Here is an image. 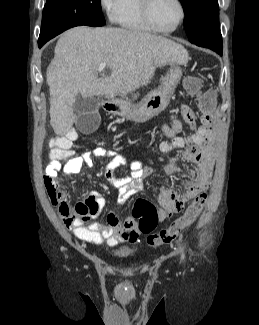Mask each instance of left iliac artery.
<instances>
[{
  "label": "left iliac artery",
  "instance_id": "44dca946",
  "mask_svg": "<svg viewBox=\"0 0 259 325\" xmlns=\"http://www.w3.org/2000/svg\"><path fill=\"white\" fill-rule=\"evenodd\" d=\"M181 258L184 260V258H185V255H184V252H183V250H181Z\"/></svg>",
  "mask_w": 259,
  "mask_h": 325
}]
</instances>
